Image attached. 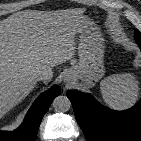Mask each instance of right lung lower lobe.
<instances>
[{"label":"right lung lower lobe","mask_w":141,"mask_h":141,"mask_svg":"<svg viewBox=\"0 0 141 141\" xmlns=\"http://www.w3.org/2000/svg\"><path fill=\"white\" fill-rule=\"evenodd\" d=\"M61 93L59 86L42 93L29 109L22 125L13 132L0 131V141H34L41 120L53 99Z\"/></svg>","instance_id":"98d812e1"}]
</instances>
